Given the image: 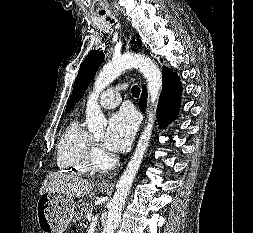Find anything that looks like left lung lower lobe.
<instances>
[{
  "label": "left lung lower lobe",
  "instance_id": "left-lung-lower-lobe-1",
  "mask_svg": "<svg viewBox=\"0 0 253 233\" xmlns=\"http://www.w3.org/2000/svg\"><path fill=\"white\" fill-rule=\"evenodd\" d=\"M162 93L157 107V117L161 127L169 124L178 114L182 94L179 77L168 68H163ZM147 92L143 85V92L139 101V108L145 112Z\"/></svg>",
  "mask_w": 253,
  "mask_h": 233
}]
</instances>
